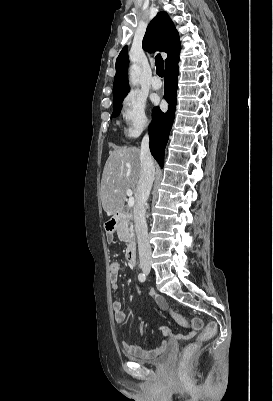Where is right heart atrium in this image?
<instances>
[{
    "label": "right heart atrium",
    "mask_w": 273,
    "mask_h": 401,
    "mask_svg": "<svg viewBox=\"0 0 273 401\" xmlns=\"http://www.w3.org/2000/svg\"><path fill=\"white\" fill-rule=\"evenodd\" d=\"M121 113L126 124L124 134L129 139L139 137L150 125L145 102L136 95L124 99Z\"/></svg>",
    "instance_id": "obj_1"
}]
</instances>
